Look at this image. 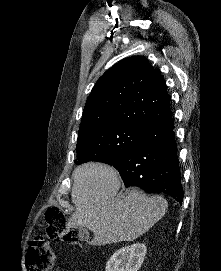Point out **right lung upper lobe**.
<instances>
[{
  "label": "right lung upper lobe",
  "mask_w": 221,
  "mask_h": 271,
  "mask_svg": "<svg viewBox=\"0 0 221 271\" xmlns=\"http://www.w3.org/2000/svg\"><path fill=\"white\" fill-rule=\"evenodd\" d=\"M169 116L170 96L160 71L145 57L133 56L98 79L84 107L78 137L117 125L147 129Z\"/></svg>",
  "instance_id": "cb5924a9"
}]
</instances>
